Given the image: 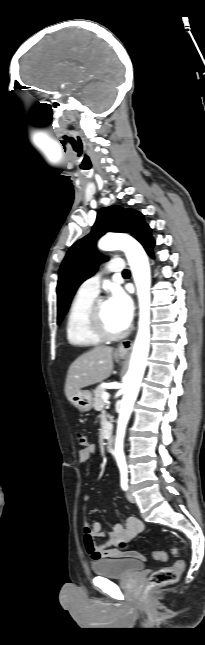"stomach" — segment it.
Wrapping results in <instances>:
<instances>
[{"label": "stomach", "instance_id": "1", "mask_svg": "<svg viewBox=\"0 0 205 645\" xmlns=\"http://www.w3.org/2000/svg\"><path fill=\"white\" fill-rule=\"evenodd\" d=\"M118 357L124 359L125 355H118ZM69 402L79 411L88 412L93 407V396L88 390H79L69 398Z\"/></svg>", "mask_w": 205, "mask_h": 645}]
</instances>
